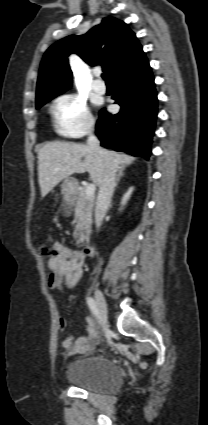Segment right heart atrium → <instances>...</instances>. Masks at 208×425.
Here are the masks:
<instances>
[{
    "label": "right heart atrium",
    "instance_id": "right-heart-atrium-1",
    "mask_svg": "<svg viewBox=\"0 0 208 425\" xmlns=\"http://www.w3.org/2000/svg\"><path fill=\"white\" fill-rule=\"evenodd\" d=\"M56 128L69 137H81L94 127L93 117L86 102L75 94L59 96L52 106Z\"/></svg>",
    "mask_w": 208,
    "mask_h": 425
}]
</instances>
